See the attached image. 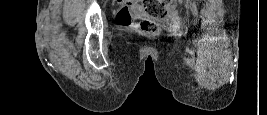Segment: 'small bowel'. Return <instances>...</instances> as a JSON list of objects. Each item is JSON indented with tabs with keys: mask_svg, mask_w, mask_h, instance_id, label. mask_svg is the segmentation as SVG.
<instances>
[{
	"mask_svg": "<svg viewBox=\"0 0 267 115\" xmlns=\"http://www.w3.org/2000/svg\"><path fill=\"white\" fill-rule=\"evenodd\" d=\"M123 4L128 5L130 9L135 10V11H140L141 7L135 3L132 2H123Z\"/></svg>",
	"mask_w": 267,
	"mask_h": 115,
	"instance_id": "obj_1",
	"label": "small bowel"
}]
</instances>
